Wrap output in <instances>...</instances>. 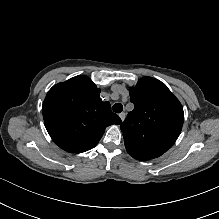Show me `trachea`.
Instances as JSON below:
<instances>
[{
  "label": "trachea",
  "instance_id": "1",
  "mask_svg": "<svg viewBox=\"0 0 219 219\" xmlns=\"http://www.w3.org/2000/svg\"><path fill=\"white\" fill-rule=\"evenodd\" d=\"M112 109L115 113H121L123 111V105L121 103H115Z\"/></svg>",
  "mask_w": 219,
  "mask_h": 219
}]
</instances>
